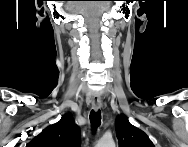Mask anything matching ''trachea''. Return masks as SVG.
I'll use <instances>...</instances> for the list:
<instances>
[{
    "instance_id": "3493384b",
    "label": "trachea",
    "mask_w": 188,
    "mask_h": 147,
    "mask_svg": "<svg viewBox=\"0 0 188 147\" xmlns=\"http://www.w3.org/2000/svg\"><path fill=\"white\" fill-rule=\"evenodd\" d=\"M90 122L92 125L93 130L95 131L101 124V111H94L90 112Z\"/></svg>"
}]
</instances>
